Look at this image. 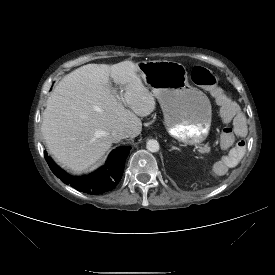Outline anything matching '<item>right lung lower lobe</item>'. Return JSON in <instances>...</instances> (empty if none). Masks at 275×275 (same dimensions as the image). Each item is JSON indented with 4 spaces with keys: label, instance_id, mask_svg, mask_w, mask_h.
I'll return each mask as SVG.
<instances>
[{
    "label": "right lung lower lobe",
    "instance_id": "1",
    "mask_svg": "<svg viewBox=\"0 0 275 275\" xmlns=\"http://www.w3.org/2000/svg\"><path fill=\"white\" fill-rule=\"evenodd\" d=\"M129 151L130 147L115 149L104 167L85 177L69 176L49 158L47 152H44V155L52 172L65 184L84 193L102 194L112 190L120 181Z\"/></svg>",
    "mask_w": 275,
    "mask_h": 275
}]
</instances>
